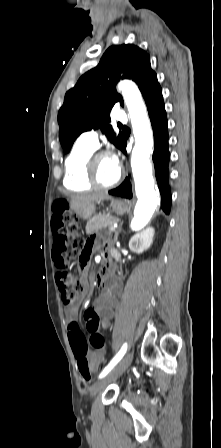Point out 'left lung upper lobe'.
Returning <instances> with one entry per match:
<instances>
[{"label": "left lung upper lobe", "mask_w": 221, "mask_h": 448, "mask_svg": "<svg viewBox=\"0 0 221 448\" xmlns=\"http://www.w3.org/2000/svg\"><path fill=\"white\" fill-rule=\"evenodd\" d=\"M124 78L136 82L143 97L160 87L157 75L151 69L150 57L144 50L133 44L109 47L99 64L82 75L65 95L58 113L59 139L65 153L70 151L82 132L92 128H100L117 148H121L125 137L122 133L116 136L108 122L114 104L123 105L115 86Z\"/></svg>", "instance_id": "1"}]
</instances>
